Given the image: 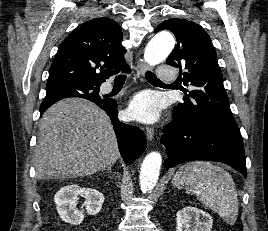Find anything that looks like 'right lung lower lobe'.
I'll return each mask as SVG.
<instances>
[{"mask_svg":"<svg viewBox=\"0 0 268 231\" xmlns=\"http://www.w3.org/2000/svg\"><path fill=\"white\" fill-rule=\"evenodd\" d=\"M125 72H130L127 67ZM103 109L111 119L118 140L119 151L126 164H131L146 149V137L142 130L120 122L117 118V103L114 99H88ZM44 111H40L42 114Z\"/></svg>","mask_w":268,"mask_h":231,"instance_id":"1","label":"right lung lower lobe"}]
</instances>
